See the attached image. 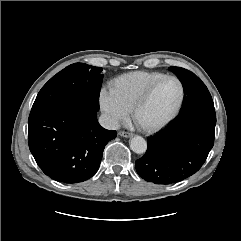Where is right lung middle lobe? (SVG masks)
Wrapping results in <instances>:
<instances>
[{
    "label": "right lung middle lobe",
    "mask_w": 241,
    "mask_h": 241,
    "mask_svg": "<svg viewBox=\"0 0 241 241\" xmlns=\"http://www.w3.org/2000/svg\"><path fill=\"white\" fill-rule=\"evenodd\" d=\"M101 72V67L84 63L69 65L42 87L32 110L53 105L81 103L98 111L103 79Z\"/></svg>",
    "instance_id": "obj_1"
}]
</instances>
